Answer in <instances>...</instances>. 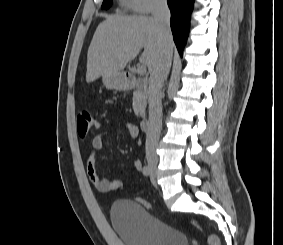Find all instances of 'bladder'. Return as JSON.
<instances>
[{"label":"bladder","instance_id":"obj_1","mask_svg":"<svg viewBox=\"0 0 283 245\" xmlns=\"http://www.w3.org/2000/svg\"><path fill=\"white\" fill-rule=\"evenodd\" d=\"M110 220L125 245H189L183 232L155 218L133 200H116Z\"/></svg>","mask_w":283,"mask_h":245}]
</instances>
